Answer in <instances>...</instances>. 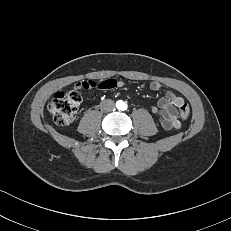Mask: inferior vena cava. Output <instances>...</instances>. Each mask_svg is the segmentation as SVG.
Returning <instances> with one entry per match:
<instances>
[{"instance_id":"602c4592","label":"inferior vena cava","mask_w":231,"mask_h":231,"mask_svg":"<svg viewBox=\"0 0 231 231\" xmlns=\"http://www.w3.org/2000/svg\"><path fill=\"white\" fill-rule=\"evenodd\" d=\"M114 102L111 99H106L100 103V108L102 111L109 112L114 109Z\"/></svg>"}]
</instances>
